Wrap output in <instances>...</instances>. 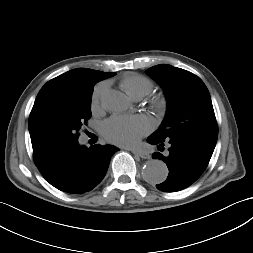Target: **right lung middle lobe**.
Masks as SVG:
<instances>
[{
  "instance_id": "obj_1",
  "label": "right lung middle lobe",
  "mask_w": 253,
  "mask_h": 253,
  "mask_svg": "<svg viewBox=\"0 0 253 253\" xmlns=\"http://www.w3.org/2000/svg\"><path fill=\"white\" fill-rule=\"evenodd\" d=\"M93 86L60 85L40 91L29 116L32 142L59 152L76 142L91 116Z\"/></svg>"
}]
</instances>
